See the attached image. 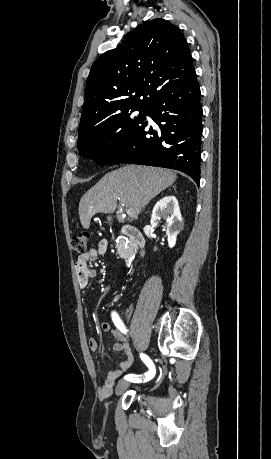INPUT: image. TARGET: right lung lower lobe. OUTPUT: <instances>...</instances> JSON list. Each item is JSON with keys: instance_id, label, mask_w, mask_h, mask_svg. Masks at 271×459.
I'll return each mask as SVG.
<instances>
[{"instance_id": "right-lung-lower-lobe-1", "label": "right lung lower lobe", "mask_w": 271, "mask_h": 459, "mask_svg": "<svg viewBox=\"0 0 271 459\" xmlns=\"http://www.w3.org/2000/svg\"><path fill=\"white\" fill-rule=\"evenodd\" d=\"M202 106L196 73L150 101L146 115L159 126L143 122L114 154L110 164L132 162L176 169L200 182Z\"/></svg>"}]
</instances>
